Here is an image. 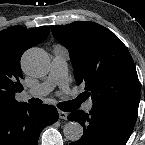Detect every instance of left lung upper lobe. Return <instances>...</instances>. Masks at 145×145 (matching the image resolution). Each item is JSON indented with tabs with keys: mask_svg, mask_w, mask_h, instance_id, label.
<instances>
[{
	"mask_svg": "<svg viewBox=\"0 0 145 145\" xmlns=\"http://www.w3.org/2000/svg\"><path fill=\"white\" fill-rule=\"evenodd\" d=\"M54 37L70 54L78 84L93 105H139L140 86L132 57L122 41L93 22L51 26Z\"/></svg>",
	"mask_w": 145,
	"mask_h": 145,
	"instance_id": "left-lung-upper-lobe-1",
	"label": "left lung upper lobe"
}]
</instances>
